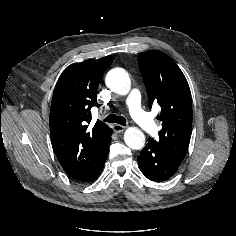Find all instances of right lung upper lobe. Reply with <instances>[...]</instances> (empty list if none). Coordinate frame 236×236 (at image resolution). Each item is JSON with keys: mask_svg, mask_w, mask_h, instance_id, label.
<instances>
[{"mask_svg": "<svg viewBox=\"0 0 236 236\" xmlns=\"http://www.w3.org/2000/svg\"><path fill=\"white\" fill-rule=\"evenodd\" d=\"M112 56L86 60L68 66L58 79L50 110V135L54 152L72 177L83 175L107 147L111 128L91 122V108L97 103V88Z\"/></svg>", "mask_w": 236, "mask_h": 236, "instance_id": "cb5924a9", "label": "right lung upper lobe"}]
</instances>
